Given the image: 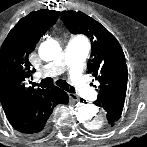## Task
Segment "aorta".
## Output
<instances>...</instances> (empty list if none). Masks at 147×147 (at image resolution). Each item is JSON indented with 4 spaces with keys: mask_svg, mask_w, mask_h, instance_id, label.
I'll return each instance as SVG.
<instances>
[{
    "mask_svg": "<svg viewBox=\"0 0 147 147\" xmlns=\"http://www.w3.org/2000/svg\"><path fill=\"white\" fill-rule=\"evenodd\" d=\"M61 55V47L53 39L44 41L39 47V56L44 61L56 60ZM76 116L90 130L101 129L107 122L106 115L98 110L94 104H80Z\"/></svg>",
    "mask_w": 147,
    "mask_h": 147,
    "instance_id": "762f6f07",
    "label": "aorta"
}]
</instances>
